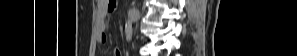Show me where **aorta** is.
<instances>
[{
  "label": "aorta",
  "instance_id": "obj_1",
  "mask_svg": "<svg viewBox=\"0 0 297 56\" xmlns=\"http://www.w3.org/2000/svg\"><path fill=\"white\" fill-rule=\"evenodd\" d=\"M132 32V25L131 22L128 21V23L126 24V33H131Z\"/></svg>",
  "mask_w": 297,
  "mask_h": 56
}]
</instances>
